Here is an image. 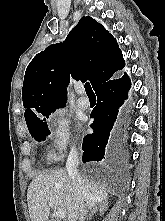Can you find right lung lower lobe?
I'll return each mask as SVG.
<instances>
[{
	"mask_svg": "<svg viewBox=\"0 0 165 221\" xmlns=\"http://www.w3.org/2000/svg\"><path fill=\"white\" fill-rule=\"evenodd\" d=\"M130 87L131 81L125 73L95 90L97 105L91 112V118H94L91 128L94 132L84 137L83 162L102 159L117 162L122 157L127 133L122 118H117V115L119 107L128 98Z\"/></svg>",
	"mask_w": 165,
	"mask_h": 221,
	"instance_id": "98d812e1",
	"label": "right lung lower lobe"
}]
</instances>
